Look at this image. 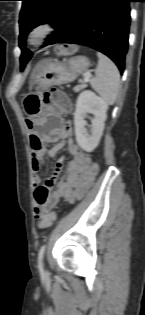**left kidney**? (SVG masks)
Instances as JSON below:
<instances>
[{
	"label": "left kidney",
	"mask_w": 145,
	"mask_h": 315,
	"mask_svg": "<svg viewBox=\"0 0 145 315\" xmlns=\"http://www.w3.org/2000/svg\"><path fill=\"white\" fill-rule=\"evenodd\" d=\"M108 104L94 92L85 90L77 98L74 113L75 136L78 145L86 152H92L99 144L104 130ZM87 114H92L90 134L85 126Z\"/></svg>",
	"instance_id": "left-kidney-1"
}]
</instances>
